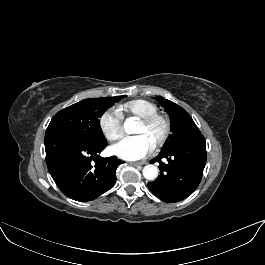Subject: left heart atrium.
Masks as SVG:
<instances>
[{
	"mask_svg": "<svg viewBox=\"0 0 265 265\" xmlns=\"http://www.w3.org/2000/svg\"><path fill=\"white\" fill-rule=\"evenodd\" d=\"M153 149V144L144 134L125 136L112 147V152L124 160H138Z\"/></svg>",
	"mask_w": 265,
	"mask_h": 265,
	"instance_id": "39dd6f15",
	"label": "left heart atrium"
}]
</instances>
